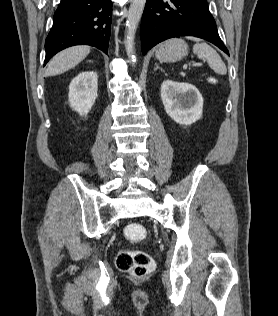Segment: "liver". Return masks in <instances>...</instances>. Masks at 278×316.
<instances>
[{
  "label": "liver",
  "mask_w": 278,
  "mask_h": 316,
  "mask_svg": "<svg viewBox=\"0 0 278 316\" xmlns=\"http://www.w3.org/2000/svg\"><path fill=\"white\" fill-rule=\"evenodd\" d=\"M90 53V47L79 45L67 48L53 57L45 70V76L62 74L83 61Z\"/></svg>",
  "instance_id": "obj_1"
}]
</instances>
